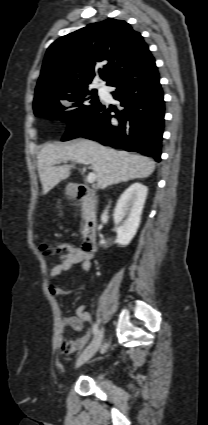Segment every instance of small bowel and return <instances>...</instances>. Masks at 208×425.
Instances as JSON below:
<instances>
[{
  "label": "small bowel",
  "mask_w": 208,
  "mask_h": 425,
  "mask_svg": "<svg viewBox=\"0 0 208 425\" xmlns=\"http://www.w3.org/2000/svg\"><path fill=\"white\" fill-rule=\"evenodd\" d=\"M57 248L65 253L61 260L56 264L50 272L51 278H57L63 272L69 271L74 265H80L83 271H88L92 266V256L83 249L73 246L69 243H60ZM49 292L53 296H65L71 293L70 290L64 289L58 285H50ZM91 321V315L84 306H79L76 310V316L63 319V327L81 332L83 324ZM91 337L90 331L84 332L79 338L74 340H62L60 348L64 354H72L83 349Z\"/></svg>",
  "instance_id": "obj_1"
}]
</instances>
